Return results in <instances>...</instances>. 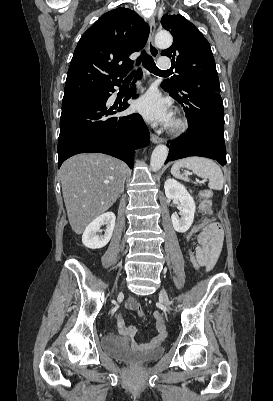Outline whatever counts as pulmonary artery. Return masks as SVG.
<instances>
[{"label": "pulmonary artery", "mask_w": 273, "mask_h": 401, "mask_svg": "<svg viewBox=\"0 0 273 401\" xmlns=\"http://www.w3.org/2000/svg\"><path fill=\"white\" fill-rule=\"evenodd\" d=\"M158 63L162 72H170L173 69L171 59L169 57H160Z\"/></svg>", "instance_id": "pulmonary-artery-1"}]
</instances>
